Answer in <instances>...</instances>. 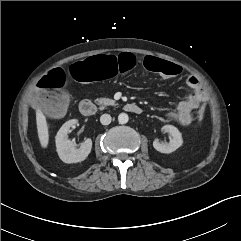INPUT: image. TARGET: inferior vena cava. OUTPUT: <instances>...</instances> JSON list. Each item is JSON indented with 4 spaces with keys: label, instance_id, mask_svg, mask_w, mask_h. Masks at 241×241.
<instances>
[{
    "label": "inferior vena cava",
    "instance_id": "602c4592",
    "mask_svg": "<svg viewBox=\"0 0 241 241\" xmlns=\"http://www.w3.org/2000/svg\"><path fill=\"white\" fill-rule=\"evenodd\" d=\"M100 122L102 125H109L111 123V116L109 114H103L100 117Z\"/></svg>",
    "mask_w": 241,
    "mask_h": 241
}]
</instances>
